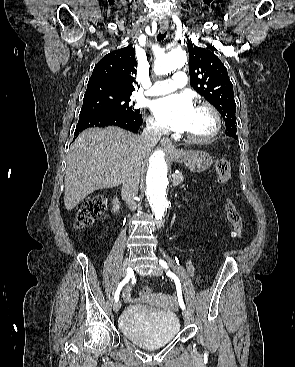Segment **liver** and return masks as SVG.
Listing matches in <instances>:
<instances>
[{
    "instance_id": "liver-1",
    "label": "liver",
    "mask_w": 295,
    "mask_h": 367,
    "mask_svg": "<svg viewBox=\"0 0 295 367\" xmlns=\"http://www.w3.org/2000/svg\"><path fill=\"white\" fill-rule=\"evenodd\" d=\"M149 150L142 148L140 136L118 127L81 132L68 153L66 210L71 211L96 190L119 186L131 168L140 173Z\"/></svg>"
}]
</instances>
